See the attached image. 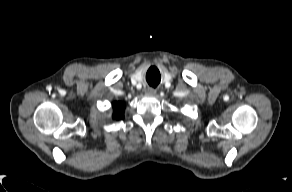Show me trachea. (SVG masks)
Here are the masks:
<instances>
[{"label": "trachea", "instance_id": "3493384b", "mask_svg": "<svg viewBox=\"0 0 292 192\" xmlns=\"http://www.w3.org/2000/svg\"><path fill=\"white\" fill-rule=\"evenodd\" d=\"M147 81H148L149 85L152 86V87H154V88H155V87L158 85V83H159V80H154V79H153V80H149V79H148Z\"/></svg>", "mask_w": 292, "mask_h": 192}]
</instances>
